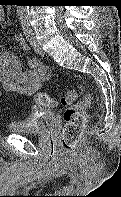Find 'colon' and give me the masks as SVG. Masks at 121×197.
<instances>
[{"label": "colon", "mask_w": 121, "mask_h": 197, "mask_svg": "<svg viewBox=\"0 0 121 197\" xmlns=\"http://www.w3.org/2000/svg\"><path fill=\"white\" fill-rule=\"evenodd\" d=\"M80 88L84 96L77 103H73L77 97L73 90H69L58 100L43 92H39L35 96V102L38 106L53 108L62 105L66 107L63 113L64 126L61 133V144L67 152L75 150L86 126L85 111L92 103L88 89L84 85H80Z\"/></svg>", "instance_id": "5ec220e1"}]
</instances>
